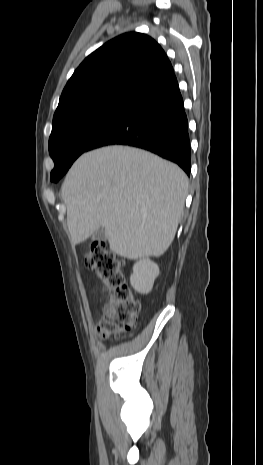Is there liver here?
<instances>
[{
	"label": "liver",
	"mask_w": 263,
	"mask_h": 465,
	"mask_svg": "<svg viewBox=\"0 0 263 465\" xmlns=\"http://www.w3.org/2000/svg\"><path fill=\"white\" fill-rule=\"evenodd\" d=\"M187 190L186 174L150 152L114 145L85 153L61 189L71 241L103 227L117 255L159 257L175 237Z\"/></svg>",
	"instance_id": "1"
}]
</instances>
